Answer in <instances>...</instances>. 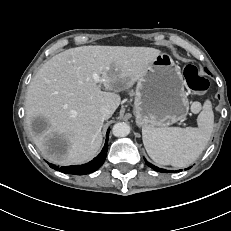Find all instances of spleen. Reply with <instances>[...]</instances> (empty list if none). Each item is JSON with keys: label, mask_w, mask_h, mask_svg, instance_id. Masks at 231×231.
<instances>
[{"label": "spleen", "mask_w": 231, "mask_h": 231, "mask_svg": "<svg viewBox=\"0 0 231 231\" xmlns=\"http://www.w3.org/2000/svg\"><path fill=\"white\" fill-rule=\"evenodd\" d=\"M198 127L142 128V139L150 158L160 165L177 168L193 163L205 149L214 127L212 105L207 100L197 118Z\"/></svg>", "instance_id": "3e777b00"}]
</instances>
